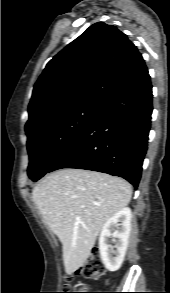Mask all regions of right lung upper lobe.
<instances>
[{"mask_svg": "<svg viewBox=\"0 0 170 293\" xmlns=\"http://www.w3.org/2000/svg\"><path fill=\"white\" fill-rule=\"evenodd\" d=\"M147 74L124 33L95 23L48 62L34 86L25 130L80 104L101 105Z\"/></svg>", "mask_w": 170, "mask_h": 293, "instance_id": "right-lung-upper-lobe-1", "label": "right lung upper lobe"}]
</instances>
